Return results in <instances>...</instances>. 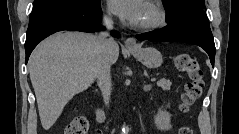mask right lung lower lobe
I'll return each mask as SVG.
<instances>
[{
    "label": "right lung lower lobe",
    "mask_w": 239,
    "mask_h": 134,
    "mask_svg": "<svg viewBox=\"0 0 239 134\" xmlns=\"http://www.w3.org/2000/svg\"><path fill=\"white\" fill-rule=\"evenodd\" d=\"M102 11L99 3L78 0H57L34 10L29 18L25 42L26 63L35 46L57 31L95 32L99 29ZM113 36H119L117 32Z\"/></svg>",
    "instance_id": "obj_1"
}]
</instances>
